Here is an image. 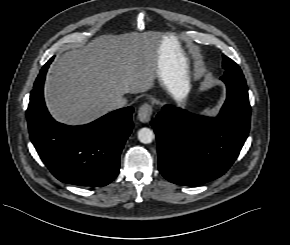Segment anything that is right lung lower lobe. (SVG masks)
Masks as SVG:
<instances>
[{
  "label": "right lung lower lobe",
  "mask_w": 290,
  "mask_h": 245,
  "mask_svg": "<svg viewBox=\"0 0 290 245\" xmlns=\"http://www.w3.org/2000/svg\"><path fill=\"white\" fill-rule=\"evenodd\" d=\"M53 58L41 69L30 94L26 114L31 141L47 168L60 181L79 186H105L119 173L120 153L133 128V108L115 110L81 126L56 122L43 96L45 75Z\"/></svg>",
  "instance_id": "1"
}]
</instances>
